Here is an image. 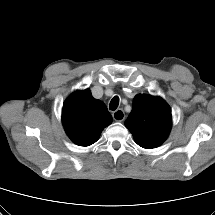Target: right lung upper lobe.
I'll use <instances>...</instances> for the list:
<instances>
[{
  "label": "right lung upper lobe",
  "instance_id": "obj_1",
  "mask_svg": "<svg viewBox=\"0 0 215 215\" xmlns=\"http://www.w3.org/2000/svg\"><path fill=\"white\" fill-rule=\"evenodd\" d=\"M62 122L69 138L79 146L95 143L112 122L105 104L93 98L89 89L73 92L64 102Z\"/></svg>",
  "mask_w": 215,
  "mask_h": 215
}]
</instances>
